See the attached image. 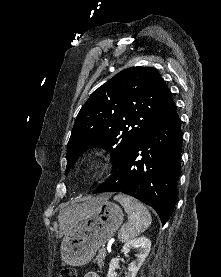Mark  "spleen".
I'll return each instance as SVG.
<instances>
[{"label": "spleen", "mask_w": 221, "mask_h": 277, "mask_svg": "<svg viewBox=\"0 0 221 277\" xmlns=\"http://www.w3.org/2000/svg\"><path fill=\"white\" fill-rule=\"evenodd\" d=\"M114 200L124 207L128 215V223L122 226L118 232V238L121 242L138 236L151 225V214L141 202L124 194L116 195Z\"/></svg>", "instance_id": "obj_1"}]
</instances>
